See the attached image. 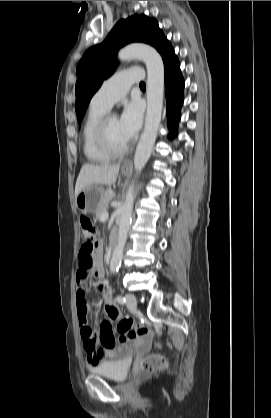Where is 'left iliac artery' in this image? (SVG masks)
<instances>
[{"mask_svg":"<svg viewBox=\"0 0 271 418\" xmlns=\"http://www.w3.org/2000/svg\"><path fill=\"white\" fill-rule=\"evenodd\" d=\"M116 301H117L119 304H124V303H125V301H126V299H125V297H123L122 295H118V296L116 297Z\"/></svg>","mask_w":271,"mask_h":418,"instance_id":"obj_1","label":"left iliac artery"}]
</instances>
